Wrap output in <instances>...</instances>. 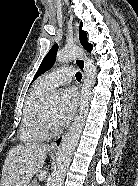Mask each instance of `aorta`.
<instances>
[{
  "instance_id": "762f6f07",
  "label": "aorta",
  "mask_w": 138,
  "mask_h": 186,
  "mask_svg": "<svg viewBox=\"0 0 138 186\" xmlns=\"http://www.w3.org/2000/svg\"><path fill=\"white\" fill-rule=\"evenodd\" d=\"M77 58L85 61V78L81 90V98L77 115L74 118L69 132L65 136L57 160L54 171L51 174L50 186H62L66 171L70 164L73 151L78 144L81 132L85 125V120L89 110V102L92 97V88L95 84L97 68L93 59L86 56L85 52L79 47H67L58 51L56 60L59 63H65ZM51 98L58 100V95L53 93Z\"/></svg>"
}]
</instances>
